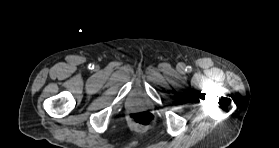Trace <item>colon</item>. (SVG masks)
I'll use <instances>...</instances> for the list:
<instances>
[{
    "label": "colon",
    "instance_id": "5ec220e1",
    "mask_svg": "<svg viewBox=\"0 0 279 148\" xmlns=\"http://www.w3.org/2000/svg\"><path fill=\"white\" fill-rule=\"evenodd\" d=\"M130 121L140 127H148L152 125L154 116L150 112H135L129 115Z\"/></svg>",
    "mask_w": 279,
    "mask_h": 148
}]
</instances>
